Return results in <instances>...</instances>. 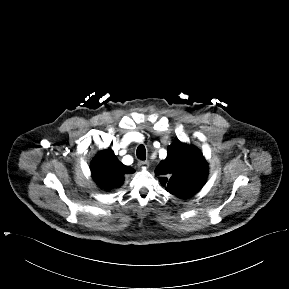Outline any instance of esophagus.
<instances>
[{
	"mask_svg": "<svg viewBox=\"0 0 289 289\" xmlns=\"http://www.w3.org/2000/svg\"><path fill=\"white\" fill-rule=\"evenodd\" d=\"M138 167L141 169H146L149 167V162L148 161H144V160H140L138 162Z\"/></svg>",
	"mask_w": 289,
	"mask_h": 289,
	"instance_id": "esophagus-1",
	"label": "esophagus"
}]
</instances>
